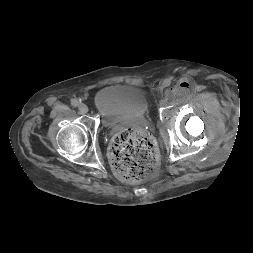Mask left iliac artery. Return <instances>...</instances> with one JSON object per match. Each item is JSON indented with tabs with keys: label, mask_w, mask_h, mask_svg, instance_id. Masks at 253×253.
<instances>
[{
	"label": "left iliac artery",
	"mask_w": 253,
	"mask_h": 253,
	"mask_svg": "<svg viewBox=\"0 0 253 253\" xmlns=\"http://www.w3.org/2000/svg\"><path fill=\"white\" fill-rule=\"evenodd\" d=\"M170 84H171V80L168 79V78L163 81V86L164 87L170 86Z\"/></svg>",
	"instance_id": "44dca946"
}]
</instances>
